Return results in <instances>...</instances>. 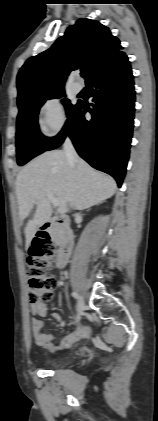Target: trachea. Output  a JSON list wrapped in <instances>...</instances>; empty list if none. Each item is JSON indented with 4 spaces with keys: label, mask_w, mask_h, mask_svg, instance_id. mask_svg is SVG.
I'll return each instance as SVG.
<instances>
[{
    "label": "trachea",
    "mask_w": 158,
    "mask_h": 421,
    "mask_svg": "<svg viewBox=\"0 0 158 421\" xmlns=\"http://www.w3.org/2000/svg\"><path fill=\"white\" fill-rule=\"evenodd\" d=\"M81 75H82V77H83V76L85 75V73H84V72H82V73H81Z\"/></svg>",
    "instance_id": "1"
}]
</instances>
